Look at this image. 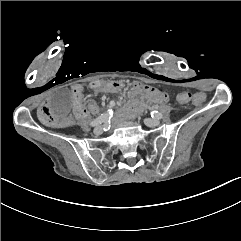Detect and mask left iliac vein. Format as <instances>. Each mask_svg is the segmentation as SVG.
I'll use <instances>...</instances> for the list:
<instances>
[{"label": "left iliac vein", "instance_id": "1", "mask_svg": "<svg viewBox=\"0 0 241 241\" xmlns=\"http://www.w3.org/2000/svg\"><path fill=\"white\" fill-rule=\"evenodd\" d=\"M144 123L149 127H156L160 122L157 119L147 118L144 120Z\"/></svg>", "mask_w": 241, "mask_h": 241}]
</instances>
